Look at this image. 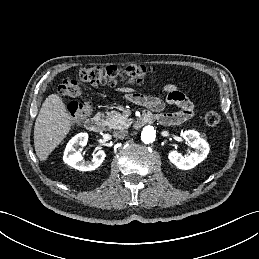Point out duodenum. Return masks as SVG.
Returning a JSON list of instances; mask_svg holds the SVG:
<instances>
[{
    "instance_id": "410a0bca",
    "label": "duodenum",
    "mask_w": 259,
    "mask_h": 259,
    "mask_svg": "<svg viewBox=\"0 0 259 259\" xmlns=\"http://www.w3.org/2000/svg\"><path fill=\"white\" fill-rule=\"evenodd\" d=\"M153 117L150 113H144L142 114L134 123V127L136 129H139L143 127L144 125L148 124L149 122L153 121ZM85 126L87 130L93 133H99L103 130L104 127V121L100 117H91L86 120Z\"/></svg>"
}]
</instances>
